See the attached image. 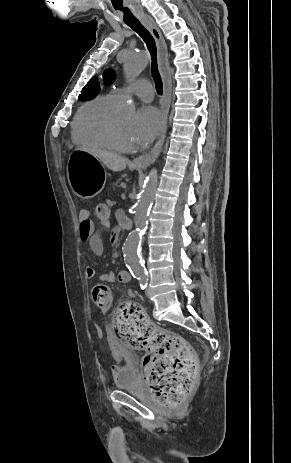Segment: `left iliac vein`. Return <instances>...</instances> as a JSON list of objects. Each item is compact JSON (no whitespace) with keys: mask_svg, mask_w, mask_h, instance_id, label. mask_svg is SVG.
Masks as SVG:
<instances>
[{"mask_svg":"<svg viewBox=\"0 0 291 463\" xmlns=\"http://www.w3.org/2000/svg\"><path fill=\"white\" fill-rule=\"evenodd\" d=\"M146 296H147L148 298H150V294H149V289H148V288L146 289Z\"/></svg>","mask_w":291,"mask_h":463,"instance_id":"1","label":"left iliac vein"}]
</instances>
